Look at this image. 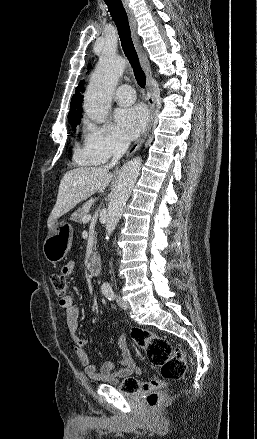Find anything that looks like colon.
<instances>
[{"label": "colon", "mask_w": 257, "mask_h": 439, "mask_svg": "<svg viewBox=\"0 0 257 439\" xmlns=\"http://www.w3.org/2000/svg\"><path fill=\"white\" fill-rule=\"evenodd\" d=\"M50 282L58 297H65L67 281L62 274H52ZM131 338L146 353L148 360L159 369V375L149 381L140 382L135 378H125L120 383V390L125 393H146L149 406H157L166 399L163 380L182 378L187 370V361L182 349L173 347L165 338L151 331L133 328Z\"/></svg>", "instance_id": "colon-1"}]
</instances>
